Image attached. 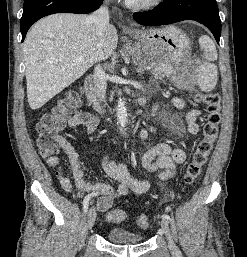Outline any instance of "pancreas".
Returning <instances> with one entry per match:
<instances>
[{"mask_svg":"<svg viewBox=\"0 0 247 257\" xmlns=\"http://www.w3.org/2000/svg\"><path fill=\"white\" fill-rule=\"evenodd\" d=\"M142 66H140V69ZM153 75L155 79L162 80L166 76H170L173 73V67L169 63H154L152 65Z\"/></svg>","mask_w":247,"mask_h":257,"instance_id":"cf45deb5","label":"pancreas"}]
</instances>
